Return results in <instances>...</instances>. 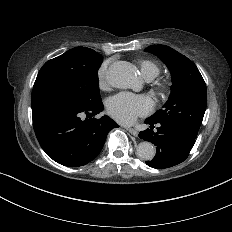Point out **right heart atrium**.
Segmentation results:
<instances>
[{"label": "right heart atrium", "instance_id": "right-heart-atrium-1", "mask_svg": "<svg viewBox=\"0 0 232 232\" xmlns=\"http://www.w3.org/2000/svg\"><path fill=\"white\" fill-rule=\"evenodd\" d=\"M106 67H107V64H104V65L101 67L100 71H99V75H100V77H101L103 80H106V79H105V70H106Z\"/></svg>", "mask_w": 232, "mask_h": 232}]
</instances>
